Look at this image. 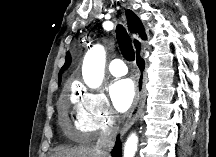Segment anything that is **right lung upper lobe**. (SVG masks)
Wrapping results in <instances>:
<instances>
[{
  "label": "right lung upper lobe",
  "instance_id": "cb5924a9",
  "mask_svg": "<svg viewBox=\"0 0 216 157\" xmlns=\"http://www.w3.org/2000/svg\"><path fill=\"white\" fill-rule=\"evenodd\" d=\"M126 17H127L128 27H129L130 31L133 33H138L139 36L145 40L146 39L145 29H144V26H143L141 20L137 17V15L133 11L127 10L126 11ZM70 61H71L70 54L67 53L65 64L61 68L59 76H61V72L64 71L69 66ZM59 80H61L60 77H59Z\"/></svg>",
  "mask_w": 216,
  "mask_h": 157
}]
</instances>
